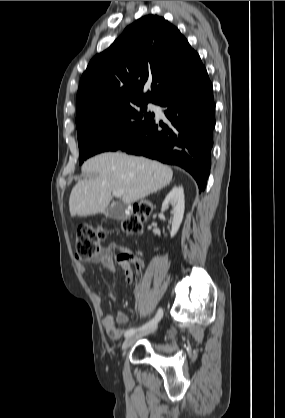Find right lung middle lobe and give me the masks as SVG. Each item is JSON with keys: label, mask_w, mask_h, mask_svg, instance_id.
I'll use <instances>...</instances> for the list:
<instances>
[{"label": "right lung middle lobe", "mask_w": 285, "mask_h": 418, "mask_svg": "<svg viewBox=\"0 0 285 418\" xmlns=\"http://www.w3.org/2000/svg\"><path fill=\"white\" fill-rule=\"evenodd\" d=\"M114 107L76 125L78 131L79 163L104 151H115L142 131L154 118L146 112L147 102H133Z\"/></svg>", "instance_id": "obj_1"}]
</instances>
